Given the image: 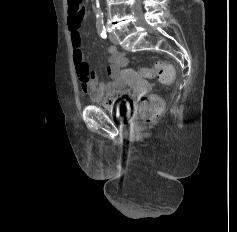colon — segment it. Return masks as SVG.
Returning a JSON list of instances; mask_svg holds the SVG:
<instances>
[{"label": "colon", "mask_w": 237, "mask_h": 232, "mask_svg": "<svg viewBox=\"0 0 237 232\" xmlns=\"http://www.w3.org/2000/svg\"><path fill=\"white\" fill-rule=\"evenodd\" d=\"M69 12L72 16H84L85 9L82 0H68ZM140 75L144 78H158L163 84H170L175 77L174 68L170 64L156 62L150 68H141ZM161 101L156 97L143 98L139 108V115L145 122H151L161 111Z\"/></svg>", "instance_id": "1"}]
</instances>
